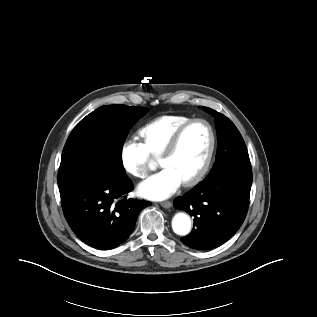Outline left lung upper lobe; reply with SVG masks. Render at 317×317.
<instances>
[{"label":"left lung upper lobe","instance_id":"1","mask_svg":"<svg viewBox=\"0 0 317 317\" xmlns=\"http://www.w3.org/2000/svg\"><path fill=\"white\" fill-rule=\"evenodd\" d=\"M215 116L218 148L215 163L205 180H213L232 170H251V163L245 142L236 126L223 114L201 107Z\"/></svg>","mask_w":317,"mask_h":317}]
</instances>
